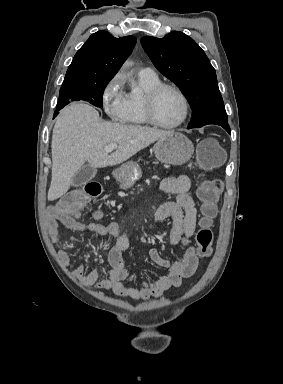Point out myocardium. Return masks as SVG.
Listing matches in <instances>:
<instances>
[{"mask_svg":"<svg viewBox=\"0 0 283 384\" xmlns=\"http://www.w3.org/2000/svg\"><path fill=\"white\" fill-rule=\"evenodd\" d=\"M164 90H171L175 92L179 96L183 104V115L181 119L171 125H164L158 122L153 112L155 100ZM142 109L147 123L161 130H173L180 127L185 123L189 115V103L185 94L178 87L168 83H160L154 86L153 88L149 89L143 96Z\"/></svg>","mask_w":283,"mask_h":384,"instance_id":"f54148a6","label":"myocardium"}]
</instances>
